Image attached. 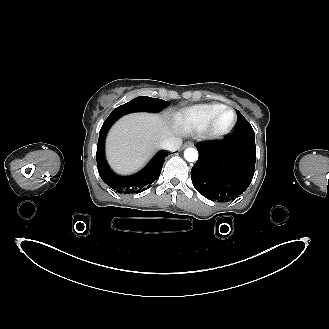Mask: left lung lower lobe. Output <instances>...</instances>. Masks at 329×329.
Instances as JSON below:
<instances>
[{
  "mask_svg": "<svg viewBox=\"0 0 329 329\" xmlns=\"http://www.w3.org/2000/svg\"><path fill=\"white\" fill-rule=\"evenodd\" d=\"M199 158L191 169L193 185L210 200L228 202L250 185L256 162L254 132L228 135L218 142L196 145Z\"/></svg>",
  "mask_w": 329,
  "mask_h": 329,
  "instance_id": "obj_1",
  "label": "left lung lower lobe"
}]
</instances>
